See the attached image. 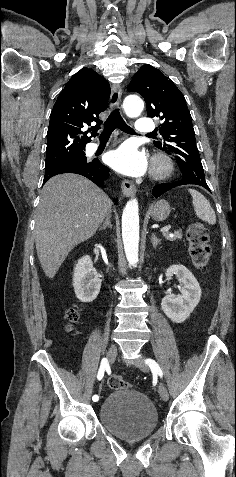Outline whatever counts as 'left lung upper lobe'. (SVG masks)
Masks as SVG:
<instances>
[{"mask_svg":"<svg viewBox=\"0 0 236 477\" xmlns=\"http://www.w3.org/2000/svg\"><path fill=\"white\" fill-rule=\"evenodd\" d=\"M129 91L140 93L146 102L149 117H159L163 140L154 145L175 154L183 179L206 183L194 128L186 100L175 84L159 69L143 65L134 75Z\"/></svg>","mask_w":236,"mask_h":477,"instance_id":"5c2ea615","label":"left lung upper lobe"}]
</instances>
